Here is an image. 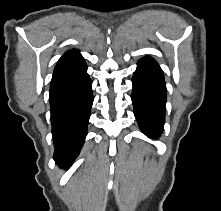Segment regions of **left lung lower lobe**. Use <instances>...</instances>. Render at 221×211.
I'll return each mask as SVG.
<instances>
[{"label":"left lung lower lobe","instance_id":"left-lung-lower-lobe-1","mask_svg":"<svg viewBox=\"0 0 221 211\" xmlns=\"http://www.w3.org/2000/svg\"><path fill=\"white\" fill-rule=\"evenodd\" d=\"M132 103L141 131L158 138L163 130L166 110V84L163 71L154 59L139 60L134 73Z\"/></svg>","mask_w":221,"mask_h":211}]
</instances>
